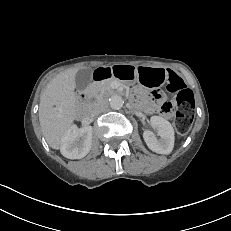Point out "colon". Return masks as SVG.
Segmentation results:
<instances>
[{
  "label": "colon",
  "instance_id": "colon-1",
  "mask_svg": "<svg viewBox=\"0 0 231 231\" xmlns=\"http://www.w3.org/2000/svg\"><path fill=\"white\" fill-rule=\"evenodd\" d=\"M169 89L175 94V103L164 100L159 104V109L163 113H171L177 108L174 126L177 133L182 136L189 131L194 118V94L176 74L170 75Z\"/></svg>",
  "mask_w": 231,
  "mask_h": 231
}]
</instances>
